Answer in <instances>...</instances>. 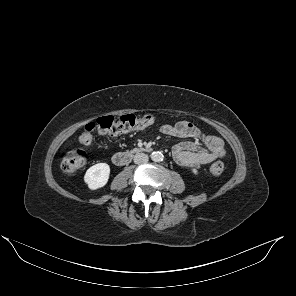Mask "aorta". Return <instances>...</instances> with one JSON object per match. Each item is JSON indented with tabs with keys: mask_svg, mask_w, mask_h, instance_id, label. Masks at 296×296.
Wrapping results in <instances>:
<instances>
[{
	"mask_svg": "<svg viewBox=\"0 0 296 296\" xmlns=\"http://www.w3.org/2000/svg\"><path fill=\"white\" fill-rule=\"evenodd\" d=\"M163 154L161 152H152L151 159L155 162H160L163 160Z\"/></svg>",
	"mask_w": 296,
	"mask_h": 296,
	"instance_id": "obj_1",
	"label": "aorta"
}]
</instances>
